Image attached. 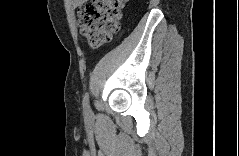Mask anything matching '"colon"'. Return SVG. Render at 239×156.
<instances>
[{"instance_id": "5ec220e1", "label": "colon", "mask_w": 239, "mask_h": 156, "mask_svg": "<svg viewBox=\"0 0 239 156\" xmlns=\"http://www.w3.org/2000/svg\"><path fill=\"white\" fill-rule=\"evenodd\" d=\"M122 8V1L113 0H92L79 6V28L90 46L100 47L110 41L119 28Z\"/></svg>"}]
</instances>
